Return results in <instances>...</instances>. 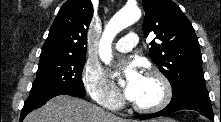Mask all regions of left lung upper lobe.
I'll use <instances>...</instances> for the list:
<instances>
[{"label":"left lung upper lobe","instance_id":"1","mask_svg":"<svg viewBox=\"0 0 221 122\" xmlns=\"http://www.w3.org/2000/svg\"><path fill=\"white\" fill-rule=\"evenodd\" d=\"M146 12L143 33L154 32L151 59L172 85L176 97L187 89L206 88L200 45L194 29L171 0H142Z\"/></svg>","mask_w":221,"mask_h":122}]
</instances>
